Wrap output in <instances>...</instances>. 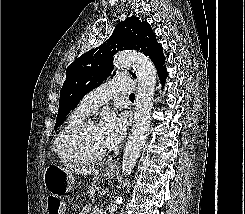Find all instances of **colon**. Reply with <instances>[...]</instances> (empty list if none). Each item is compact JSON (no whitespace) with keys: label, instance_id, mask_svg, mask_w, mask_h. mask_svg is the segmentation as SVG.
<instances>
[{"label":"colon","instance_id":"obj_1","mask_svg":"<svg viewBox=\"0 0 245 214\" xmlns=\"http://www.w3.org/2000/svg\"><path fill=\"white\" fill-rule=\"evenodd\" d=\"M50 214H63L61 203L58 199L51 198L48 200Z\"/></svg>","mask_w":245,"mask_h":214}]
</instances>
